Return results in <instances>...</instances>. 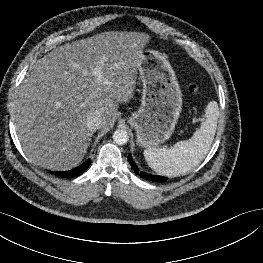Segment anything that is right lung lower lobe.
<instances>
[{
	"label": "right lung lower lobe",
	"instance_id": "1",
	"mask_svg": "<svg viewBox=\"0 0 263 263\" xmlns=\"http://www.w3.org/2000/svg\"><path fill=\"white\" fill-rule=\"evenodd\" d=\"M90 163H91V161L88 160L85 164H83L82 166H80L74 170L67 171V172H52V173L57 175V176H61V177H65V178L77 177V176L84 173V171L88 168Z\"/></svg>",
	"mask_w": 263,
	"mask_h": 263
}]
</instances>
